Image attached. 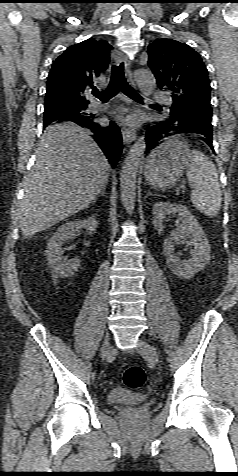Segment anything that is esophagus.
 Masks as SVG:
<instances>
[{
    "label": "esophagus",
    "instance_id": "34e87169",
    "mask_svg": "<svg viewBox=\"0 0 238 476\" xmlns=\"http://www.w3.org/2000/svg\"><path fill=\"white\" fill-rule=\"evenodd\" d=\"M113 60L117 64L124 61L125 73H126V76L128 78V81L133 87H136V84H135V82L132 78V74H131V71H130V62H129V60L126 59L124 57L123 53L119 50L114 52ZM121 132H122V137H123L124 144H130L136 138V132L133 129L122 128Z\"/></svg>",
    "mask_w": 238,
    "mask_h": 476
}]
</instances>
